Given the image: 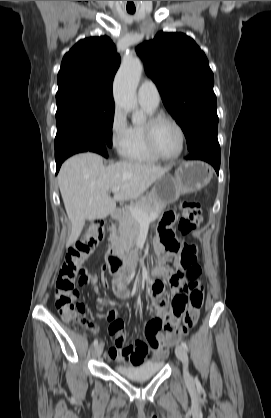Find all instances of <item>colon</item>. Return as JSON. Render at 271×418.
I'll return each mask as SVG.
<instances>
[{
    "instance_id": "obj_1",
    "label": "colon",
    "mask_w": 271,
    "mask_h": 418,
    "mask_svg": "<svg viewBox=\"0 0 271 418\" xmlns=\"http://www.w3.org/2000/svg\"><path fill=\"white\" fill-rule=\"evenodd\" d=\"M180 209L181 218L178 229L182 235H187L195 230L201 222V206L195 201L185 200L181 202ZM173 219L171 213H166L163 216L159 225L160 241L170 252L180 254V270L177 277L186 276L188 280L196 281L200 275V267L194 248L188 244L181 246L174 237L173 232L169 229ZM102 237V224L100 222L91 224L87 234L69 249L59 271L55 283V305L65 322L91 326V323L84 317L85 305L79 300L80 294L75 283L87 282L88 276L86 271L81 268V263L93 251ZM203 301L204 291L200 286L193 287L188 295L183 294L173 298L174 308L184 313V316L180 328H177L171 320H167L163 325L165 331L173 334L172 342L187 335L188 331L196 325Z\"/></svg>"
}]
</instances>
